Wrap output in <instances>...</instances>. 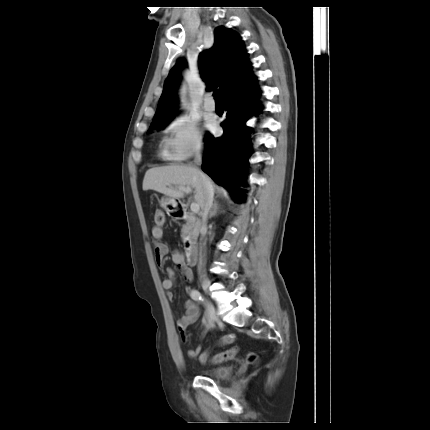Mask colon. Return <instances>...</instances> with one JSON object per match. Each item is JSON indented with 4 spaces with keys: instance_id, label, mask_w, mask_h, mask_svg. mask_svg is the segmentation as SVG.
I'll return each instance as SVG.
<instances>
[{
    "instance_id": "1",
    "label": "colon",
    "mask_w": 430,
    "mask_h": 430,
    "mask_svg": "<svg viewBox=\"0 0 430 430\" xmlns=\"http://www.w3.org/2000/svg\"><path fill=\"white\" fill-rule=\"evenodd\" d=\"M164 220H165L164 213L161 210H157L154 213V221H155V223L157 225H162L164 223ZM234 340H235V336L233 334H226V335H224L220 339L219 343L222 344V345H228V344L233 343ZM235 353H236V349L235 348H231V349L226 350L224 352L217 353V354H215L212 357H209L208 351H204L200 355L199 359H200L201 363H203V364H206V363L220 364V363H222L224 361H227V360L233 358V356L235 355Z\"/></svg>"
}]
</instances>
